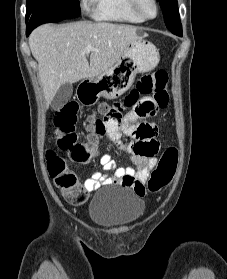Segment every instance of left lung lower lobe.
<instances>
[{
	"mask_svg": "<svg viewBox=\"0 0 227 279\" xmlns=\"http://www.w3.org/2000/svg\"><path fill=\"white\" fill-rule=\"evenodd\" d=\"M175 35L182 36V33H175Z\"/></svg>",
	"mask_w": 227,
	"mask_h": 279,
	"instance_id": "1",
	"label": "left lung lower lobe"
}]
</instances>
